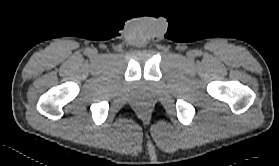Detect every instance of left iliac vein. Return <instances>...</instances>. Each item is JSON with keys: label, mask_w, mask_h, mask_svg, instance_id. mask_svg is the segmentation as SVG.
I'll return each mask as SVG.
<instances>
[{"label": "left iliac vein", "mask_w": 279, "mask_h": 166, "mask_svg": "<svg viewBox=\"0 0 279 166\" xmlns=\"http://www.w3.org/2000/svg\"><path fill=\"white\" fill-rule=\"evenodd\" d=\"M188 56H189V57H192V56H193V53H192V52H189V53H188Z\"/></svg>", "instance_id": "left-iliac-vein-1"}]
</instances>
